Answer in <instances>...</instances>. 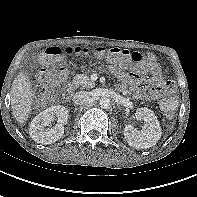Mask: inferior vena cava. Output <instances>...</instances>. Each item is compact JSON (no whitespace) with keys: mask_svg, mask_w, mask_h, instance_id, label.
Instances as JSON below:
<instances>
[{"mask_svg":"<svg viewBox=\"0 0 197 197\" xmlns=\"http://www.w3.org/2000/svg\"><path fill=\"white\" fill-rule=\"evenodd\" d=\"M90 98V94L87 91H78L73 96V102L77 105H82Z\"/></svg>","mask_w":197,"mask_h":197,"instance_id":"obj_1","label":"inferior vena cava"}]
</instances>
